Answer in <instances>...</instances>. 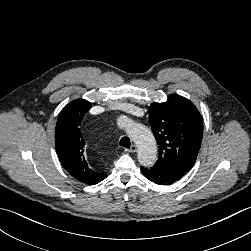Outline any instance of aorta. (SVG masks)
Listing matches in <instances>:
<instances>
[{"instance_id": "1", "label": "aorta", "mask_w": 251, "mask_h": 251, "mask_svg": "<svg viewBox=\"0 0 251 251\" xmlns=\"http://www.w3.org/2000/svg\"><path fill=\"white\" fill-rule=\"evenodd\" d=\"M128 134L138 147V161L144 167L154 165L157 159V144L152 132L144 125L133 124Z\"/></svg>"}]
</instances>
